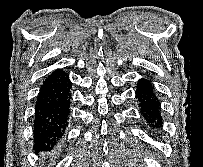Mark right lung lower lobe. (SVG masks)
Returning a JSON list of instances; mask_svg holds the SVG:
<instances>
[{"instance_id":"1","label":"right lung lower lobe","mask_w":203,"mask_h":167,"mask_svg":"<svg viewBox=\"0 0 203 167\" xmlns=\"http://www.w3.org/2000/svg\"><path fill=\"white\" fill-rule=\"evenodd\" d=\"M71 81L63 70L54 71L41 86L33 122L34 148L53 149L60 143L69 123Z\"/></svg>"}]
</instances>
